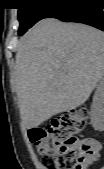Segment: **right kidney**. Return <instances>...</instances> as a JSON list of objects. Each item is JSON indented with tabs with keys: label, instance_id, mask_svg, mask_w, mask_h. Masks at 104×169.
<instances>
[{
	"label": "right kidney",
	"instance_id": "right-kidney-1",
	"mask_svg": "<svg viewBox=\"0 0 104 169\" xmlns=\"http://www.w3.org/2000/svg\"><path fill=\"white\" fill-rule=\"evenodd\" d=\"M91 124L95 130L104 129V81H100L93 96Z\"/></svg>",
	"mask_w": 104,
	"mask_h": 169
}]
</instances>
